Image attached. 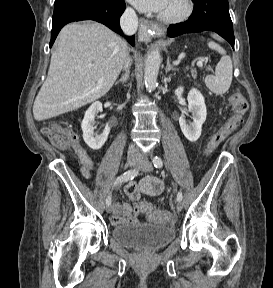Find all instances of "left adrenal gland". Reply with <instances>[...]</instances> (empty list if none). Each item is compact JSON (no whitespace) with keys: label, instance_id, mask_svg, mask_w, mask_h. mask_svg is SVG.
<instances>
[{"label":"left adrenal gland","instance_id":"1","mask_svg":"<svg viewBox=\"0 0 273 288\" xmlns=\"http://www.w3.org/2000/svg\"><path fill=\"white\" fill-rule=\"evenodd\" d=\"M171 70L174 71V72L177 71L176 68H173V66L170 64V61H169V59H168V60H167V66H166L165 72L168 73V72L171 71Z\"/></svg>","mask_w":273,"mask_h":288}]
</instances>
